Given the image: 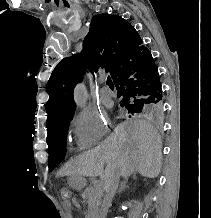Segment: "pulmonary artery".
<instances>
[{"instance_id":"obj_1","label":"pulmonary artery","mask_w":211,"mask_h":218,"mask_svg":"<svg viewBox=\"0 0 211 218\" xmlns=\"http://www.w3.org/2000/svg\"><path fill=\"white\" fill-rule=\"evenodd\" d=\"M102 83H105V79H102ZM100 93L103 98H111L114 95V92L108 86L102 87Z\"/></svg>"}]
</instances>
